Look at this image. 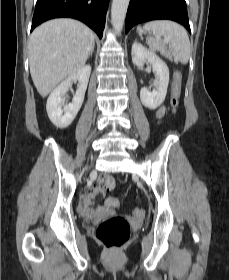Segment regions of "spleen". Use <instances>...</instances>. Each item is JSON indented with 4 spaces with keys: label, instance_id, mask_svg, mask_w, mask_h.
<instances>
[{
    "label": "spleen",
    "instance_id": "spleen-1",
    "mask_svg": "<svg viewBox=\"0 0 229 280\" xmlns=\"http://www.w3.org/2000/svg\"><path fill=\"white\" fill-rule=\"evenodd\" d=\"M143 28L153 33V37L148 38V44L153 50L161 53L169 51L182 64L188 62L190 41L181 25L169 20H155L146 23Z\"/></svg>",
    "mask_w": 229,
    "mask_h": 280
}]
</instances>
